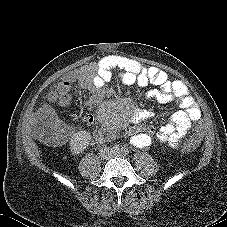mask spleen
<instances>
[{"label": "spleen", "instance_id": "1", "mask_svg": "<svg viewBox=\"0 0 227 227\" xmlns=\"http://www.w3.org/2000/svg\"><path fill=\"white\" fill-rule=\"evenodd\" d=\"M189 136L193 140H200L204 136V129L200 125H193L189 129Z\"/></svg>", "mask_w": 227, "mask_h": 227}]
</instances>
